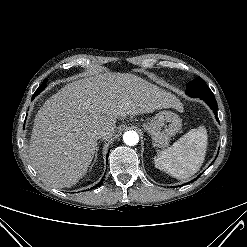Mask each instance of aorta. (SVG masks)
<instances>
[{"label":"aorta","instance_id":"762f6f07","mask_svg":"<svg viewBox=\"0 0 247 247\" xmlns=\"http://www.w3.org/2000/svg\"><path fill=\"white\" fill-rule=\"evenodd\" d=\"M123 141L126 145L134 146L139 141V135L135 131H127L123 135Z\"/></svg>","mask_w":247,"mask_h":247}]
</instances>
